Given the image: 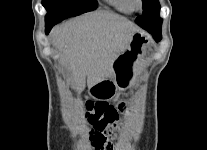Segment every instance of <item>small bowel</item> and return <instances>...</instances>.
I'll return each mask as SVG.
<instances>
[{"label": "small bowel", "mask_w": 207, "mask_h": 150, "mask_svg": "<svg viewBox=\"0 0 207 150\" xmlns=\"http://www.w3.org/2000/svg\"><path fill=\"white\" fill-rule=\"evenodd\" d=\"M95 138H91V141H92V143H93V140H94Z\"/></svg>", "instance_id": "small-bowel-1"}]
</instances>
